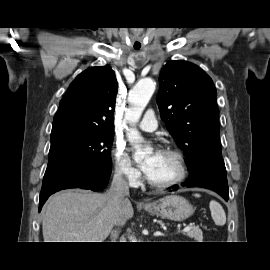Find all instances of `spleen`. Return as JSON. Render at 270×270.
Returning <instances> with one entry per match:
<instances>
[{
  "label": "spleen",
  "mask_w": 270,
  "mask_h": 270,
  "mask_svg": "<svg viewBox=\"0 0 270 270\" xmlns=\"http://www.w3.org/2000/svg\"><path fill=\"white\" fill-rule=\"evenodd\" d=\"M196 197H199V194H195ZM211 216L215 224L218 226H223L226 223V215L222 206L217 202L212 200L209 204Z\"/></svg>",
  "instance_id": "3e777b00"
}]
</instances>
